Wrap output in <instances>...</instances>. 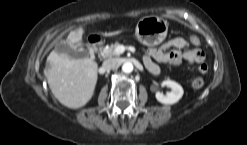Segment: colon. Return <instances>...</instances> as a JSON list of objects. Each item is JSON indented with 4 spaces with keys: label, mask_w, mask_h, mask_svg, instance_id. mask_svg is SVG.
<instances>
[{
    "label": "colon",
    "mask_w": 247,
    "mask_h": 145,
    "mask_svg": "<svg viewBox=\"0 0 247 145\" xmlns=\"http://www.w3.org/2000/svg\"><path fill=\"white\" fill-rule=\"evenodd\" d=\"M199 72L201 74H206L208 72V66L206 64H202L200 67H199ZM204 85V79L202 77H197L195 78L192 83H191V86L194 88V89H199L201 88L202 86Z\"/></svg>",
    "instance_id": "obj_1"
}]
</instances>
